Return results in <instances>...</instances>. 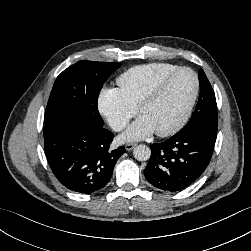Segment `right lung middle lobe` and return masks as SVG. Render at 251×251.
<instances>
[{"label": "right lung middle lobe", "mask_w": 251, "mask_h": 251, "mask_svg": "<svg viewBox=\"0 0 251 251\" xmlns=\"http://www.w3.org/2000/svg\"><path fill=\"white\" fill-rule=\"evenodd\" d=\"M121 64L80 61L56 79L45 111V122L77 115L103 126L97 100L107 78Z\"/></svg>", "instance_id": "obj_1"}]
</instances>
